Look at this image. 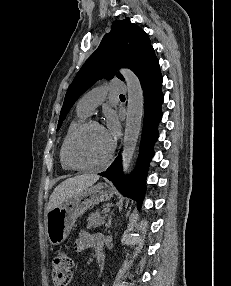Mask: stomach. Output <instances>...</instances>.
Here are the masks:
<instances>
[{
	"instance_id": "0dacf381",
	"label": "stomach",
	"mask_w": 231,
	"mask_h": 286,
	"mask_svg": "<svg viewBox=\"0 0 231 286\" xmlns=\"http://www.w3.org/2000/svg\"><path fill=\"white\" fill-rule=\"evenodd\" d=\"M113 188L100 182L75 193L61 205L47 212L46 234L52 245H60L68 237L77 218L87 209L113 196Z\"/></svg>"
}]
</instances>
